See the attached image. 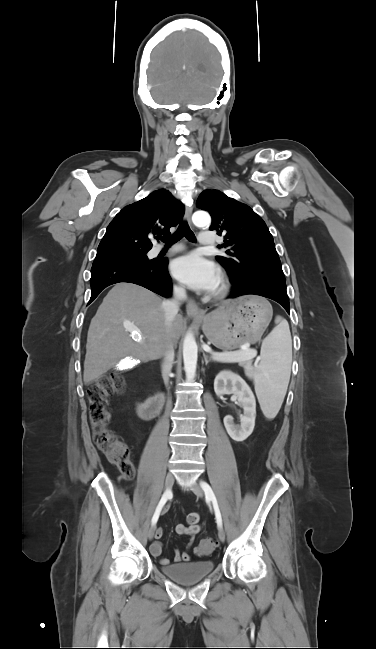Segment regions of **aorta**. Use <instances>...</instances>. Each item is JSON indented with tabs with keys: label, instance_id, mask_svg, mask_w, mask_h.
<instances>
[{
	"label": "aorta",
	"instance_id": "1",
	"mask_svg": "<svg viewBox=\"0 0 376 649\" xmlns=\"http://www.w3.org/2000/svg\"><path fill=\"white\" fill-rule=\"evenodd\" d=\"M193 223L197 227L207 228L211 224V217L205 211H198L193 214ZM198 360V346L192 333H187L183 341V362L186 376L192 379L196 375Z\"/></svg>",
	"mask_w": 376,
	"mask_h": 649
}]
</instances>
